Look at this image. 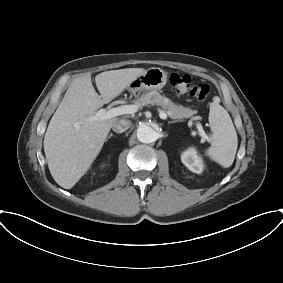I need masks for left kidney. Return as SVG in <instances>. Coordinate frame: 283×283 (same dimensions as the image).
Segmentation results:
<instances>
[{"mask_svg":"<svg viewBox=\"0 0 283 283\" xmlns=\"http://www.w3.org/2000/svg\"><path fill=\"white\" fill-rule=\"evenodd\" d=\"M182 163L192 172L200 174L203 170V161L194 148H189L181 155Z\"/></svg>","mask_w":283,"mask_h":283,"instance_id":"obj_1","label":"left kidney"}]
</instances>
